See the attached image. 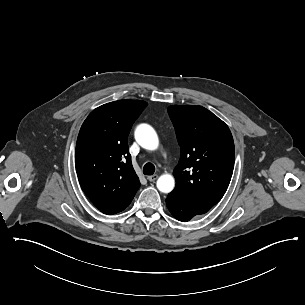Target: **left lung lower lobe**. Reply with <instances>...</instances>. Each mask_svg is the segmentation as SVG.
<instances>
[{"label":"left lung lower lobe","instance_id":"obj_1","mask_svg":"<svg viewBox=\"0 0 305 305\" xmlns=\"http://www.w3.org/2000/svg\"><path fill=\"white\" fill-rule=\"evenodd\" d=\"M166 204L171 214L182 222L189 221L193 217L204 214L210 209L186 204L171 193L168 194Z\"/></svg>","mask_w":305,"mask_h":305}]
</instances>
